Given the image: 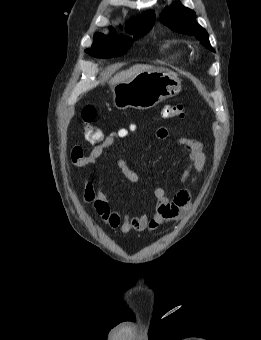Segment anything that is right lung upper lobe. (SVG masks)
<instances>
[{
    "mask_svg": "<svg viewBox=\"0 0 261 340\" xmlns=\"http://www.w3.org/2000/svg\"><path fill=\"white\" fill-rule=\"evenodd\" d=\"M155 21V13L153 11H148L145 14L141 15L138 18L131 20L132 24L136 23H148Z\"/></svg>",
    "mask_w": 261,
    "mask_h": 340,
    "instance_id": "right-lung-upper-lobe-1",
    "label": "right lung upper lobe"
}]
</instances>
